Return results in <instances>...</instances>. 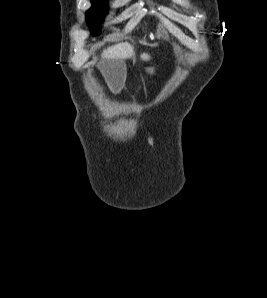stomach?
Masks as SVG:
<instances>
[{
	"mask_svg": "<svg viewBox=\"0 0 267 298\" xmlns=\"http://www.w3.org/2000/svg\"><path fill=\"white\" fill-rule=\"evenodd\" d=\"M147 72H149V73H153V72H154V69H153V68H148V69H147Z\"/></svg>",
	"mask_w": 267,
	"mask_h": 298,
	"instance_id": "stomach-1",
	"label": "stomach"
}]
</instances>
